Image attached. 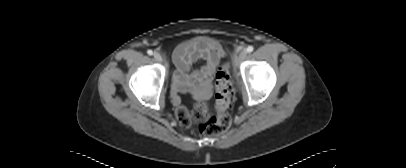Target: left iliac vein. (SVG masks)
<instances>
[{
	"mask_svg": "<svg viewBox=\"0 0 406 168\" xmlns=\"http://www.w3.org/2000/svg\"><path fill=\"white\" fill-rule=\"evenodd\" d=\"M247 56V51L243 50L239 53V55L237 57H235V62L236 64L240 63L241 61H243Z\"/></svg>",
	"mask_w": 406,
	"mask_h": 168,
	"instance_id": "obj_1",
	"label": "left iliac vein"
}]
</instances>
